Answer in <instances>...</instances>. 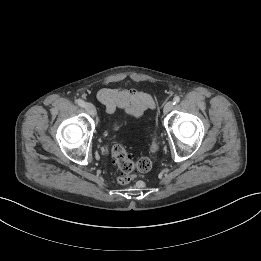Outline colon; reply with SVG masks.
<instances>
[{"mask_svg":"<svg viewBox=\"0 0 261 261\" xmlns=\"http://www.w3.org/2000/svg\"><path fill=\"white\" fill-rule=\"evenodd\" d=\"M150 151L152 155L157 153L158 144L156 141L152 142ZM111 155L113 162L120 170V175L118 177V182L120 184L129 183L133 179L135 173L147 172L151 170L153 165L152 160L146 157L134 160L132 155L119 144H115L112 147Z\"/></svg>","mask_w":261,"mask_h":261,"instance_id":"5ec220e1","label":"colon"}]
</instances>
